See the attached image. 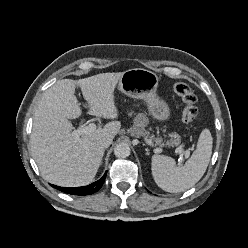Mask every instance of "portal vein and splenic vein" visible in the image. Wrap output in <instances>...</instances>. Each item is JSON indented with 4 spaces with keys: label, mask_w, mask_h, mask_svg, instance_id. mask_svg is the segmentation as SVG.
Segmentation results:
<instances>
[{
    "label": "portal vein and splenic vein",
    "mask_w": 248,
    "mask_h": 248,
    "mask_svg": "<svg viewBox=\"0 0 248 248\" xmlns=\"http://www.w3.org/2000/svg\"><path fill=\"white\" fill-rule=\"evenodd\" d=\"M97 129V126L95 123H90L88 126H85L83 128L74 130L71 134L75 139H79V137L83 134H90L94 132ZM147 142L151 144V140L147 139ZM175 153L180 154L179 162L182 163L183 161V154H185L186 157L189 156V151H184L182 147H178L175 149Z\"/></svg>",
    "instance_id": "18ae733b"
}]
</instances>
